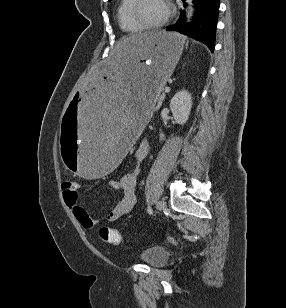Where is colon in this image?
Wrapping results in <instances>:
<instances>
[{
	"label": "colon",
	"instance_id": "1",
	"mask_svg": "<svg viewBox=\"0 0 286 308\" xmlns=\"http://www.w3.org/2000/svg\"><path fill=\"white\" fill-rule=\"evenodd\" d=\"M79 183L75 180H68L63 183V189L67 194H76ZM101 239L109 244L118 245L122 242L120 233L110 227H101L99 231Z\"/></svg>",
	"mask_w": 286,
	"mask_h": 308
}]
</instances>
